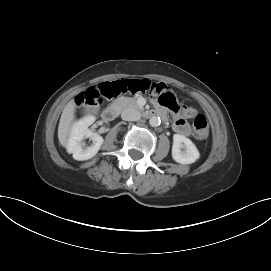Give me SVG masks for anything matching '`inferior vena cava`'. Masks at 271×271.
Instances as JSON below:
<instances>
[{"mask_svg": "<svg viewBox=\"0 0 271 271\" xmlns=\"http://www.w3.org/2000/svg\"><path fill=\"white\" fill-rule=\"evenodd\" d=\"M121 118L126 121H137L141 118V114L135 108H126L121 113Z\"/></svg>", "mask_w": 271, "mask_h": 271, "instance_id": "1", "label": "inferior vena cava"}]
</instances>
